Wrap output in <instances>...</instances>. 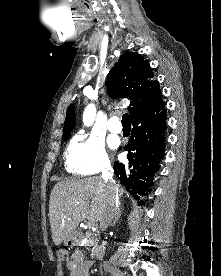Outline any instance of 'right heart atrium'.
Here are the masks:
<instances>
[{"label":"right heart atrium","mask_w":221,"mask_h":276,"mask_svg":"<svg viewBox=\"0 0 221 276\" xmlns=\"http://www.w3.org/2000/svg\"><path fill=\"white\" fill-rule=\"evenodd\" d=\"M65 161L68 170L78 175H94L110 165L102 141L87 135H78L70 142Z\"/></svg>","instance_id":"1"}]
</instances>
